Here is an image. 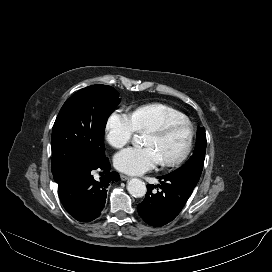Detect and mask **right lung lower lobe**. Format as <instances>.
<instances>
[{
	"label": "right lung lower lobe",
	"instance_id": "right-lung-lower-lobe-1",
	"mask_svg": "<svg viewBox=\"0 0 272 272\" xmlns=\"http://www.w3.org/2000/svg\"><path fill=\"white\" fill-rule=\"evenodd\" d=\"M102 170L105 174L96 181L93 170ZM120 179L117 172H110L108 158L97 163L80 166L57 180L60 200L66 211L81 222H90L98 218L105 206L106 189L110 182Z\"/></svg>",
	"mask_w": 272,
	"mask_h": 272
}]
</instances>
